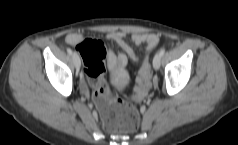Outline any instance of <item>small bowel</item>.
I'll return each mask as SVG.
<instances>
[{"label":"small bowel","mask_w":238,"mask_h":145,"mask_svg":"<svg viewBox=\"0 0 238 145\" xmlns=\"http://www.w3.org/2000/svg\"><path fill=\"white\" fill-rule=\"evenodd\" d=\"M107 37L108 39L116 42L123 50V53H119L116 55L111 50L105 49V58H107L108 65L111 68H120L125 66L127 64V57L131 58L135 62L139 60L133 48L125 40V32L119 30L110 31L107 34ZM83 40H85V37L80 33H70L65 37L66 43L76 46L80 44ZM131 40L136 45H146L147 57L150 55L151 51L157 46L159 41L158 36L156 34L146 32L132 33Z\"/></svg>","instance_id":"1"}]
</instances>
